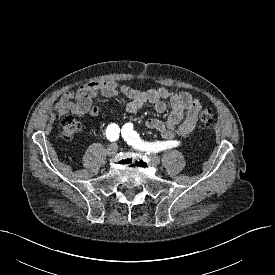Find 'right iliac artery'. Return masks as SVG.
Instances as JSON below:
<instances>
[{
	"instance_id": "right-iliac-artery-1",
	"label": "right iliac artery",
	"mask_w": 275,
	"mask_h": 275,
	"mask_svg": "<svg viewBox=\"0 0 275 275\" xmlns=\"http://www.w3.org/2000/svg\"><path fill=\"white\" fill-rule=\"evenodd\" d=\"M120 128L117 124L111 123L106 129V137L111 142L116 141L119 138Z\"/></svg>"
}]
</instances>
